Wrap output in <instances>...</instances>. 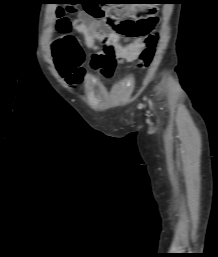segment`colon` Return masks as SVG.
I'll list each match as a JSON object with an SVG mask.
<instances>
[{"instance_id": "1", "label": "colon", "mask_w": 218, "mask_h": 257, "mask_svg": "<svg viewBox=\"0 0 218 257\" xmlns=\"http://www.w3.org/2000/svg\"><path fill=\"white\" fill-rule=\"evenodd\" d=\"M63 10H76V5H63ZM125 10V5H81V10L87 12L96 18L106 17L108 22L115 30L124 36L131 38H145L146 48L141 54L140 67L146 68L150 65L157 44V36L154 30L158 24L159 18L153 5H130V10H135L132 13L134 19H126L119 23H115V19L121 14L116 11L105 13L102 10ZM58 30L64 35L58 38L53 45L55 62L59 71L63 75L72 73L77 68L81 67L84 62V52L77 39L67 32L70 29V23L67 18L59 14ZM90 67V64H88Z\"/></svg>"}]
</instances>
